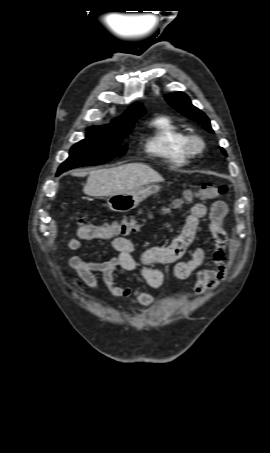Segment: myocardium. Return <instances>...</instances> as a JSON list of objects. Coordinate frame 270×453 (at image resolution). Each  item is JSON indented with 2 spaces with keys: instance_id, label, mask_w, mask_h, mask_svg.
I'll return each instance as SVG.
<instances>
[{
  "instance_id": "obj_1",
  "label": "myocardium",
  "mask_w": 270,
  "mask_h": 453,
  "mask_svg": "<svg viewBox=\"0 0 270 453\" xmlns=\"http://www.w3.org/2000/svg\"><path fill=\"white\" fill-rule=\"evenodd\" d=\"M185 146L191 155L199 154L205 149V141L199 135H188L185 141Z\"/></svg>"
}]
</instances>
